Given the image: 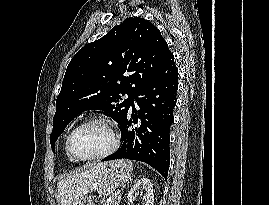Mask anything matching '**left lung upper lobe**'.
I'll use <instances>...</instances> for the list:
<instances>
[{"mask_svg": "<svg viewBox=\"0 0 269 205\" xmlns=\"http://www.w3.org/2000/svg\"><path fill=\"white\" fill-rule=\"evenodd\" d=\"M171 54L160 31L148 20L130 17L71 59L56 100L50 135L54 143L78 114L103 110L119 125L137 94ZM128 95L127 99H123Z\"/></svg>", "mask_w": 269, "mask_h": 205, "instance_id": "5c2ea615", "label": "left lung upper lobe"}]
</instances>
